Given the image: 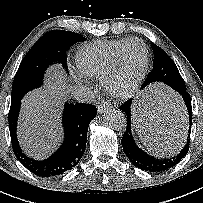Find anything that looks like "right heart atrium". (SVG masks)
<instances>
[{
    "label": "right heart atrium",
    "instance_id": "right-heart-atrium-1",
    "mask_svg": "<svg viewBox=\"0 0 203 203\" xmlns=\"http://www.w3.org/2000/svg\"><path fill=\"white\" fill-rule=\"evenodd\" d=\"M78 80L83 82V81H85V78L83 77V75H78Z\"/></svg>",
    "mask_w": 203,
    "mask_h": 203
}]
</instances>
